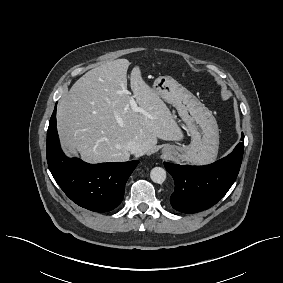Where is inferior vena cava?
Listing matches in <instances>:
<instances>
[{"label":"inferior vena cava","instance_id":"1","mask_svg":"<svg viewBox=\"0 0 283 283\" xmlns=\"http://www.w3.org/2000/svg\"><path fill=\"white\" fill-rule=\"evenodd\" d=\"M127 149L130 151L131 154H142L143 148L141 145L136 143L135 141H129L127 144Z\"/></svg>","mask_w":283,"mask_h":283}]
</instances>
